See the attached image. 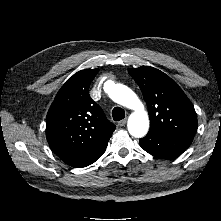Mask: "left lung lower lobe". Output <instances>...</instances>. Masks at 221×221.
I'll list each match as a JSON object with an SVG mask.
<instances>
[{"mask_svg":"<svg viewBox=\"0 0 221 221\" xmlns=\"http://www.w3.org/2000/svg\"><path fill=\"white\" fill-rule=\"evenodd\" d=\"M188 136H168L156 132L149 133L139 140L140 146L153 156L171 159L182 154L192 143Z\"/></svg>","mask_w":221,"mask_h":221,"instance_id":"left-lung-lower-lobe-1","label":"left lung lower lobe"}]
</instances>
